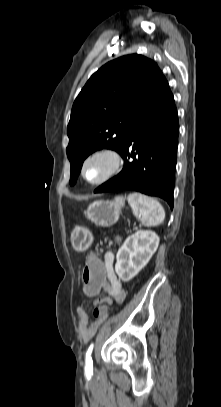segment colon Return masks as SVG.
I'll return each mask as SVG.
<instances>
[{
    "label": "colon",
    "instance_id": "colon-1",
    "mask_svg": "<svg viewBox=\"0 0 221 407\" xmlns=\"http://www.w3.org/2000/svg\"><path fill=\"white\" fill-rule=\"evenodd\" d=\"M104 258H100L98 252H91L84 264L82 272L83 292H88L86 297L92 300L95 297L93 292H104V286L107 285V269L104 264ZM110 308L108 305L97 306L94 314L98 318H106Z\"/></svg>",
    "mask_w": 221,
    "mask_h": 407
}]
</instances>
